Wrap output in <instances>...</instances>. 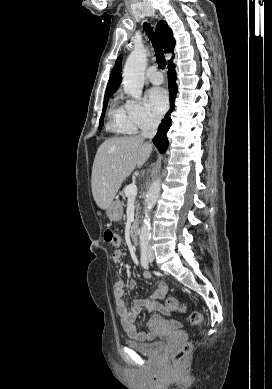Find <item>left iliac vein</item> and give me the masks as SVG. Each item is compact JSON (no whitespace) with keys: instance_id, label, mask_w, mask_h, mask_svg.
<instances>
[{"instance_id":"4c4485c4","label":"left iliac vein","mask_w":272,"mask_h":389,"mask_svg":"<svg viewBox=\"0 0 272 389\" xmlns=\"http://www.w3.org/2000/svg\"><path fill=\"white\" fill-rule=\"evenodd\" d=\"M154 259V255L151 249H149V261L152 262Z\"/></svg>"}]
</instances>
